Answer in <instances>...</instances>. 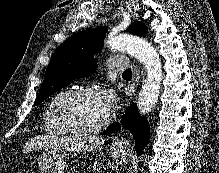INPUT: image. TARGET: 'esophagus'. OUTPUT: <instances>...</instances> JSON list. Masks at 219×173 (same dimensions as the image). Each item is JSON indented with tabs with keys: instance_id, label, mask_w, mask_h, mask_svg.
Here are the masks:
<instances>
[{
	"instance_id": "1",
	"label": "esophagus",
	"mask_w": 219,
	"mask_h": 173,
	"mask_svg": "<svg viewBox=\"0 0 219 173\" xmlns=\"http://www.w3.org/2000/svg\"><path fill=\"white\" fill-rule=\"evenodd\" d=\"M113 143L116 145H122L125 143V138L123 136H119L113 140Z\"/></svg>"
}]
</instances>
